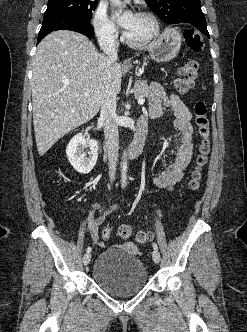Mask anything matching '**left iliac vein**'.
<instances>
[{
    "mask_svg": "<svg viewBox=\"0 0 247 332\" xmlns=\"http://www.w3.org/2000/svg\"><path fill=\"white\" fill-rule=\"evenodd\" d=\"M152 258H153V261L155 263H159V261H160V253L156 249H154L153 252H152Z\"/></svg>",
    "mask_w": 247,
    "mask_h": 332,
    "instance_id": "obj_1",
    "label": "left iliac vein"
}]
</instances>
